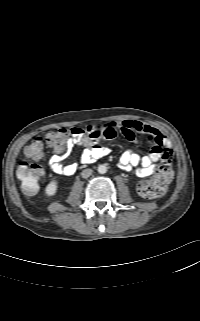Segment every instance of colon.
I'll return each instance as SVG.
<instances>
[{
	"label": "colon",
	"mask_w": 200,
	"mask_h": 321,
	"mask_svg": "<svg viewBox=\"0 0 200 321\" xmlns=\"http://www.w3.org/2000/svg\"><path fill=\"white\" fill-rule=\"evenodd\" d=\"M72 130L57 129L45 135L44 138L33 139L25 148V154L34 159L40 160L44 155V144L59 150H65ZM90 137L100 140L106 136L99 131H94ZM172 153L169 151L163 160V165L157 170L156 174L147 180L141 181L137 186L138 193L145 198H156L163 196L173 179V170L170 166ZM17 177L21 181L22 189L27 195H34L39 189V182L43 177V169L35 162L22 160L17 166Z\"/></svg>",
	"instance_id": "obj_1"
}]
</instances>
